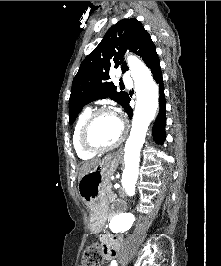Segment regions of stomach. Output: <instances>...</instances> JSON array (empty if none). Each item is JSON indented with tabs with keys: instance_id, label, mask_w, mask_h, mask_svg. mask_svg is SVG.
<instances>
[{
	"instance_id": "stomach-1",
	"label": "stomach",
	"mask_w": 221,
	"mask_h": 266,
	"mask_svg": "<svg viewBox=\"0 0 221 266\" xmlns=\"http://www.w3.org/2000/svg\"><path fill=\"white\" fill-rule=\"evenodd\" d=\"M119 161L120 158L116 154H109L79 180V196L83 203L90 208V226L93 230L99 228L104 219L108 207L106 186L109 184Z\"/></svg>"
}]
</instances>
